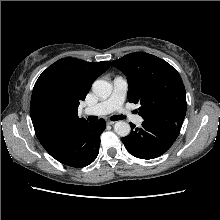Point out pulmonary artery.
<instances>
[{"label": "pulmonary artery", "mask_w": 220, "mask_h": 220, "mask_svg": "<svg viewBox=\"0 0 220 220\" xmlns=\"http://www.w3.org/2000/svg\"><path fill=\"white\" fill-rule=\"evenodd\" d=\"M128 90L127 80L121 76L116 77L113 80V91L110 97L97 103L94 106L87 107L84 109L85 115L102 116L112 112L124 113L123 103ZM131 120L140 125L143 121L142 116L134 115Z\"/></svg>", "instance_id": "obj_1"}]
</instances>
